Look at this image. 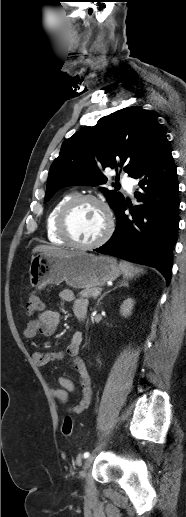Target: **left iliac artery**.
Instances as JSON below:
<instances>
[{
    "label": "left iliac artery",
    "mask_w": 186,
    "mask_h": 517,
    "mask_svg": "<svg viewBox=\"0 0 186 517\" xmlns=\"http://www.w3.org/2000/svg\"><path fill=\"white\" fill-rule=\"evenodd\" d=\"M83 456H84V458H88L90 456V453L89 452H85Z\"/></svg>",
    "instance_id": "44dca946"
}]
</instances>
